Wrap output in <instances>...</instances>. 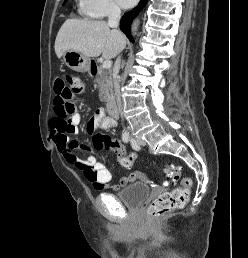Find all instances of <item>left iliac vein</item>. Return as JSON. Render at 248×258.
Masks as SVG:
<instances>
[{
	"instance_id": "4c4485c4",
	"label": "left iliac vein",
	"mask_w": 248,
	"mask_h": 258,
	"mask_svg": "<svg viewBox=\"0 0 248 258\" xmlns=\"http://www.w3.org/2000/svg\"><path fill=\"white\" fill-rule=\"evenodd\" d=\"M137 143H138L139 146H145L146 145V142L141 137L137 138Z\"/></svg>"
}]
</instances>
